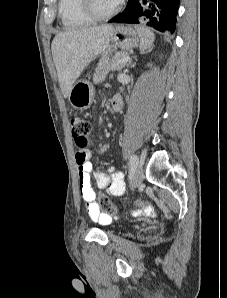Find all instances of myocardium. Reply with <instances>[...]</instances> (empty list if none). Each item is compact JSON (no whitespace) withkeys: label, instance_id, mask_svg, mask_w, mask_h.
Segmentation results:
<instances>
[{"label":"myocardium","instance_id":"f54148a6","mask_svg":"<svg viewBox=\"0 0 227 298\" xmlns=\"http://www.w3.org/2000/svg\"><path fill=\"white\" fill-rule=\"evenodd\" d=\"M121 4L122 2L120 0L111 11L101 14L95 10L93 6V0H82L83 10L92 21H104L114 17L120 11Z\"/></svg>","mask_w":227,"mask_h":298}]
</instances>
